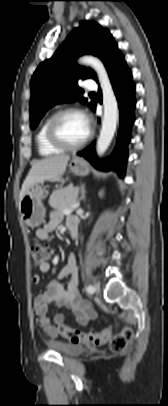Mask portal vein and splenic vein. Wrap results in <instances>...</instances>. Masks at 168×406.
I'll return each instance as SVG.
<instances>
[{"label": "portal vein and splenic vein", "instance_id": "obj_1", "mask_svg": "<svg viewBox=\"0 0 168 406\" xmlns=\"http://www.w3.org/2000/svg\"><path fill=\"white\" fill-rule=\"evenodd\" d=\"M78 206H79L78 203L74 204L70 208L63 210V213L66 214V215L71 214L73 209L77 208Z\"/></svg>", "mask_w": 168, "mask_h": 406}]
</instances>
